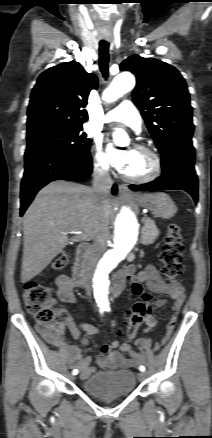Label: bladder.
<instances>
[{
	"instance_id": "31cf9c89",
	"label": "bladder",
	"mask_w": 212,
	"mask_h": 438,
	"mask_svg": "<svg viewBox=\"0 0 212 438\" xmlns=\"http://www.w3.org/2000/svg\"><path fill=\"white\" fill-rule=\"evenodd\" d=\"M136 375L131 370L97 372L81 383L82 389L99 398L111 399L131 394L135 389Z\"/></svg>"
}]
</instances>
